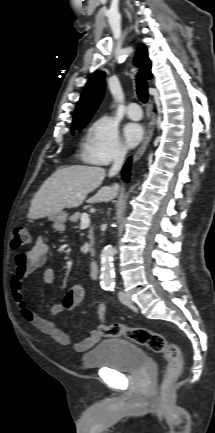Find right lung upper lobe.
Returning a JSON list of instances; mask_svg holds the SVG:
<instances>
[{"label":"right lung upper lobe","mask_w":215,"mask_h":433,"mask_svg":"<svg viewBox=\"0 0 215 433\" xmlns=\"http://www.w3.org/2000/svg\"><path fill=\"white\" fill-rule=\"evenodd\" d=\"M135 63L143 69L148 79L151 78V62L148 58L147 49L143 44H140L138 47ZM104 79L105 73L100 70L91 76L77 103L73 123L90 120L103 97L105 88Z\"/></svg>","instance_id":"cb5924a9"}]
</instances>
